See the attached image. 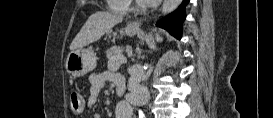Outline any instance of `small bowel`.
<instances>
[{"label": "small bowel", "mask_w": 273, "mask_h": 118, "mask_svg": "<svg viewBox=\"0 0 273 118\" xmlns=\"http://www.w3.org/2000/svg\"><path fill=\"white\" fill-rule=\"evenodd\" d=\"M116 80H124V78L113 71L91 75L90 77L91 86H90L89 97L87 100V105L89 107H94L99 100L100 94L106 82L108 81L115 82ZM131 115H132V109L130 106L120 105L116 110V118H130Z\"/></svg>", "instance_id": "small-bowel-1"}]
</instances>
